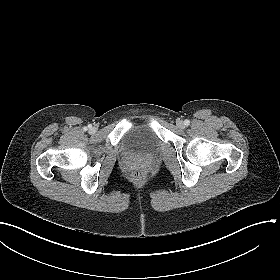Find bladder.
<instances>
[{
	"instance_id": "bladder-1",
	"label": "bladder",
	"mask_w": 280,
	"mask_h": 280,
	"mask_svg": "<svg viewBox=\"0 0 280 280\" xmlns=\"http://www.w3.org/2000/svg\"><path fill=\"white\" fill-rule=\"evenodd\" d=\"M123 144L129 150L150 153L157 148V138L152 130L146 126H142L129 132Z\"/></svg>"
}]
</instances>
